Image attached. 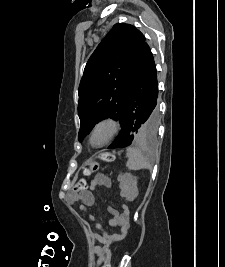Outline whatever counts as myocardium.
<instances>
[{"label": "myocardium", "mask_w": 225, "mask_h": 267, "mask_svg": "<svg viewBox=\"0 0 225 267\" xmlns=\"http://www.w3.org/2000/svg\"><path fill=\"white\" fill-rule=\"evenodd\" d=\"M104 124L110 126V134L104 142H102L101 144L95 145L92 142L93 134L99 126L104 125ZM121 129H122L121 120L117 118L116 116L108 115V116L101 117L91 127V130L89 132V137H88L89 144L94 148H101L109 144L110 142H112L119 135V133L121 132Z\"/></svg>", "instance_id": "myocardium-1"}]
</instances>
